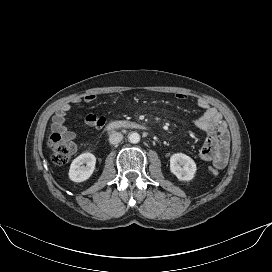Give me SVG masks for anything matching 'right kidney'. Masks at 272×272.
<instances>
[{
    "label": "right kidney",
    "instance_id": "ca27d5eb",
    "mask_svg": "<svg viewBox=\"0 0 272 272\" xmlns=\"http://www.w3.org/2000/svg\"><path fill=\"white\" fill-rule=\"evenodd\" d=\"M96 157L92 153H83L76 157L69 169V178L74 182H83L94 172Z\"/></svg>",
    "mask_w": 272,
    "mask_h": 272
}]
</instances>
